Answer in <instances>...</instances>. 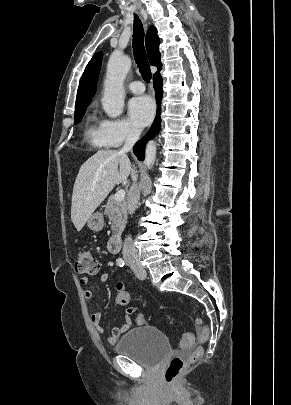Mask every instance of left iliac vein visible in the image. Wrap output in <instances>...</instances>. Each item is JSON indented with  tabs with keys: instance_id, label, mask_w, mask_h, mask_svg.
<instances>
[{
	"instance_id": "1",
	"label": "left iliac vein",
	"mask_w": 291,
	"mask_h": 405,
	"mask_svg": "<svg viewBox=\"0 0 291 405\" xmlns=\"http://www.w3.org/2000/svg\"><path fill=\"white\" fill-rule=\"evenodd\" d=\"M133 270L135 275L139 278V279H145L146 278V271L143 267H141L140 265L137 266H133Z\"/></svg>"
}]
</instances>
